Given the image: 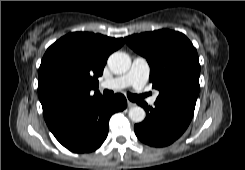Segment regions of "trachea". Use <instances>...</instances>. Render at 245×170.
Returning a JSON list of instances; mask_svg holds the SVG:
<instances>
[{
    "mask_svg": "<svg viewBox=\"0 0 245 170\" xmlns=\"http://www.w3.org/2000/svg\"><path fill=\"white\" fill-rule=\"evenodd\" d=\"M103 95L104 96H112L113 95V91H111V90H104L103 91ZM145 96H147V94L146 95H135V94H132V93H129V92L127 93L128 99L130 101H132V102H138V101L144 99Z\"/></svg>",
    "mask_w": 245,
    "mask_h": 170,
    "instance_id": "obj_1",
    "label": "trachea"
}]
</instances>
